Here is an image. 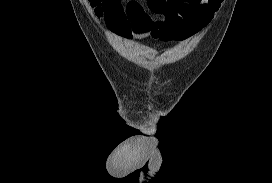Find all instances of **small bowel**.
I'll return each instance as SVG.
<instances>
[{
    "label": "small bowel",
    "instance_id": "c3829d8e",
    "mask_svg": "<svg viewBox=\"0 0 272 183\" xmlns=\"http://www.w3.org/2000/svg\"><path fill=\"white\" fill-rule=\"evenodd\" d=\"M221 0H104L99 15L120 38L131 41L148 36L163 41L184 40L209 23Z\"/></svg>",
    "mask_w": 272,
    "mask_h": 183
}]
</instances>
